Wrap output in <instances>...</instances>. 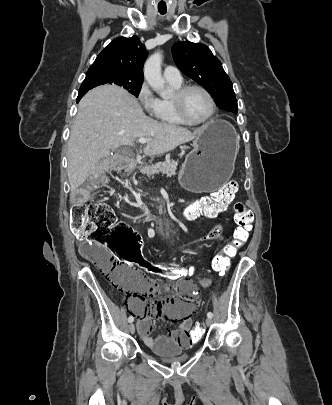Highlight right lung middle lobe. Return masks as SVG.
Segmentation results:
<instances>
[{
  "instance_id": "obj_1",
  "label": "right lung middle lobe",
  "mask_w": 332,
  "mask_h": 405,
  "mask_svg": "<svg viewBox=\"0 0 332 405\" xmlns=\"http://www.w3.org/2000/svg\"><path fill=\"white\" fill-rule=\"evenodd\" d=\"M142 82L143 79L130 77L120 72L106 70L96 71L86 74V78L79 89V93H86L88 90L103 84H116L122 86L129 93L138 97Z\"/></svg>"
}]
</instances>
